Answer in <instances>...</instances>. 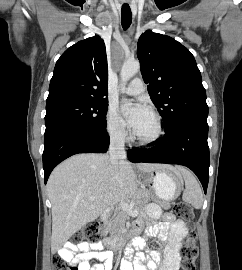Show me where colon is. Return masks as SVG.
I'll list each match as a JSON object with an SVG mask.
<instances>
[{"instance_id":"obj_1","label":"colon","mask_w":242,"mask_h":270,"mask_svg":"<svg viewBox=\"0 0 242 270\" xmlns=\"http://www.w3.org/2000/svg\"><path fill=\"white\" fill-rule=\"evenodd\" d=\"M174 213L183 221L190 223L194 217L192 207L185 202H179L174 206ZM105 234L104 223L100 220L88 222L80 231L76 232L70 243L81 244L86 241L96 240ZM183 259L182 270H196V261L198 258L197 237L191 229L181 248ZM53 270H77L75 265L69 264L60 254L52 258Z\"/></svg>"}]
</instances>
